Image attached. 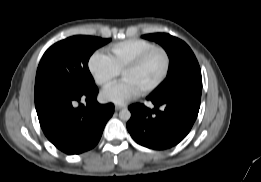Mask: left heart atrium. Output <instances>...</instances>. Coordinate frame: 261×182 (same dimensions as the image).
<instances>
[{"instance_id": "39dd6f15", "label": "left heart atrium", "mask_w": 261, "mask_h": 182, "mask_svg": "<svg viewBox=\"0 0 261 182\" xmlns=\"http://www.w3.org/2000/svg\"><path fill=\"white\" fill-rule=\"evenodd\" d=\"M142 90L130 81L123 80L118 84L102 91L100 98L104 102L124 104L139 96Z\"/></svg>"}]
</instances>
